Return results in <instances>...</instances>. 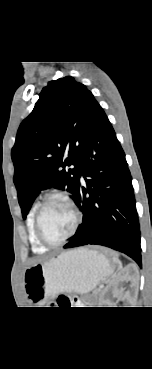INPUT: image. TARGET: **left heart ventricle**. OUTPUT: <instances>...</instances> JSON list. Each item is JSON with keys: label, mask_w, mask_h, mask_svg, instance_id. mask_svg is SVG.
<instances>
[{"label": "left heart ventricle", "mask_w": 152, "mask_h": 369, "mask_svg": "<svg viewBox=\"0 0 152 369\" xmlns=\"http://www.w3.org/2000/svg\"><path fill=\"white\" fill-rule=\"evenodd\" d=\"M74 224L71 208L61 200H52L41 216V229L44 236L52 242L65 237Z\"/></svg>", "instance_id": "b2bd125f"}]
</instances>
